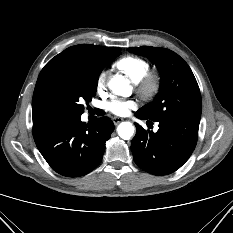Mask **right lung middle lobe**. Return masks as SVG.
<instances>
[{"mask_svg":"<svg viewBox=\"0 0 233 233\" xmlns=\"http://www.w3.org/2000/svg\"><path fill=\"white\" fill-rule=\"evenodd\" d=\"M121 54L118 47H109L99 57L69 62L50 77L46 89V104L55 117L81 116L84 102L96 94L99 75L104 67Z\"/></svg>","mask_w":233,"mask_h":233,"instance_id":"obj_1","label":"right lung middle lobe"}]
</instances>
